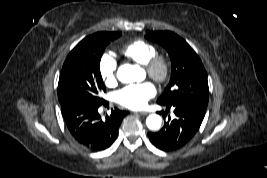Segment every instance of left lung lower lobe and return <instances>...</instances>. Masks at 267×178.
<instances>
[{
    "mask_svg": "<svg viewBox=\"0 0 267 178\" xmlns=\"http://www.w3.org/2000/svg\"><path fill=\"white\" fill-rule=\"evenodd\" d=\"M173 110L175 117H169L164 127L155 133H148L151 143L164 151H172L185 146L198 132L205 112L182 104H159ZM164 115V112H162Z\"/></svg>",
    "mask_w": 267,
    "mask_h": 178,
    "instance_id": "0a47b994",
    "label": "left lung lower lobe"
}]
</instances>
